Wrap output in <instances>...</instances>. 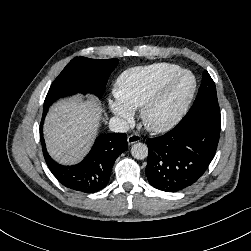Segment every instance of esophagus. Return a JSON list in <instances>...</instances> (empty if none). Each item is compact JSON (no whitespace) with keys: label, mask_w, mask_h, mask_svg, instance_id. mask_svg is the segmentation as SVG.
Listing matches in <instances>:
<instances>
[{"label":"esophagus","mask_w":251,"mask_h":251,"mask_svg":"<svg viewBox=\"0 0 251 251\" xmlns=\"http://www.w3.org/2000/svg\"><path fill=\"white\" fill-rule=\"evenodd\" d=\"M141 140L140 135L138 134H131L130 136H128L127 142L129 145L134 144L136 142H139Z\"/></svg>","instance_id":"34e87169"}]
</instances>
